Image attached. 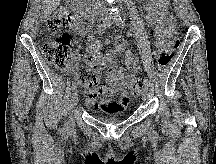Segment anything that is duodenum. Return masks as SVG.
Listing matches in <instances>:
<instances>
[{
  "mask_svg": "<svg viewBox=\"0 0 216 164\" xmlns=\"http://www.w3.org/2000/svg\"><path fill=\"white\" fill-rule=\"evenodd\" d=\"M73 9L85 16L91 17L95 11L94 5L89 3V0H70Z\"/></svg>",
  "mask_w": 216,
  "mask_h": 164,
  "instance_id": "1",
  "label": "duodenum"
}]
</instances>
